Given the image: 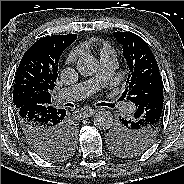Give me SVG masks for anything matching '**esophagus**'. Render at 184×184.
Segmentation results:
<instances>
[{
    "instance_id": "esophagus-1",
    "label": "esophagus",
    "mask_w": 184,
    "mask_h": 184,
    "mask_svg": "<svg viewBox=\"0 0 184 184\" xmlns=\"http://www.w3.org/2000/svg\"><path fill=\"white\" fill-rule=\"evenodd\" d=\"M95 112H96L95 109H93V108H88V109H86L85 111H82V115H83L84 117H89V116L93 115Z\"/></svg>"
}]
</instances>
